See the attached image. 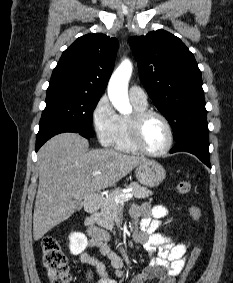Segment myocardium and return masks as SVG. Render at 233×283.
<instances>
[{
    "label": "myocardium",
    "instance_id": "myocardium-1",
    "mask_svg": "<svg viewBox=\"0 0 233 283\" xmlns=\"http://www.w3.org/2000/svg\"><path fill=\"white\" fill-rule=\"evenodd\" d=\"M152 117L159 118L165 124L167 131H168V135H169L167 145L165 146V148H163L160 151L149 150L144 145L143 139H142V132H143L144 125ZM129 130H130V138H131L133 145L139 152L143 154H146L149 156H161L169 152V150L172 148V145L174 142L173 128L169 120L160 112L149 110V109L134 112L133 115L129 119Z\"/></svg>",
    "mask_w": 233,
    "mask_h": 283
}]
</instances>
